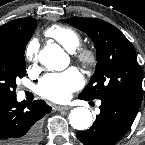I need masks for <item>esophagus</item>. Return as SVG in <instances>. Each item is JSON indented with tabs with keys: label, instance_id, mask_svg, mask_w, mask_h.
<instances>
[{
	"label": "esophagus",
	"instance_id": "esophagus-1",
	"mask_svg": "<svg viewBox=\"0 0 145 145\" xmlns=\"http://www.w3.org/2000/svg\"><path fill=\"white\" fill-rule=\"evenodd\" d=\"M57 111H67L69 110L68 106H56Z\"/></svg>",
	"mask_w": 145,
	"mask_h": 145
}]
</instances>
